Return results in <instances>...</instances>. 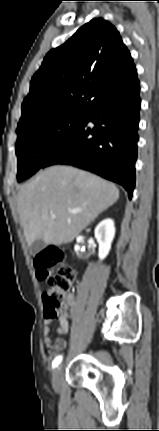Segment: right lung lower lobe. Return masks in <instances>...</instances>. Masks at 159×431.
<instances>
[{"instance_id": "98d812e1", "label": "right lung lower lobe", "mask_w": 159, "mask_h": 431, "mask_svg": "<svg viewBox=\"0 0 159 431\" xmlns=\"http://www.w3.org/2000/svg\"><path fill=\"white\" fill-rule=\"evenodd\" d=\"M139 91L136 79L100 102L46 158L42 168L68 164L91 171L122 185L131 198L139 139ZM89 121L95 127H88Z\"/></svg>"}]
</instances>
